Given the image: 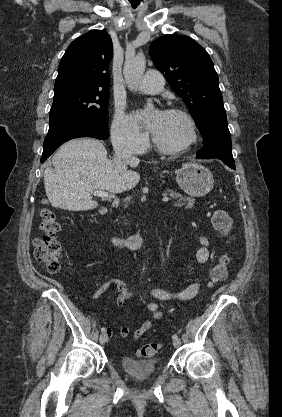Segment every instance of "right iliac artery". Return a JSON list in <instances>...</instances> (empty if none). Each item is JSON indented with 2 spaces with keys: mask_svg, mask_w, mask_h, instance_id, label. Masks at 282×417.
<instances>
[{
  "mask_svg": "<svg viewBox=\"0 0 282 417\" xmlns=\"http://www.w3.org/2000/svg\"><path fill=\"white\" fill-rule=\"evenodd\" d=\"M129 295H131V294H129ZM129 297V296H128ZM101 332L102 333H104L105 332V328L103 327V328H101Z\"/></svg>",
  "mask_w": 282,
  "mask_h": 417,
  "instance_id": "obj_1",
  "label": "right iliac artery"
}]
</instances>
